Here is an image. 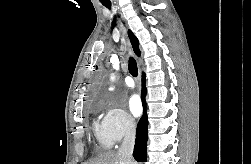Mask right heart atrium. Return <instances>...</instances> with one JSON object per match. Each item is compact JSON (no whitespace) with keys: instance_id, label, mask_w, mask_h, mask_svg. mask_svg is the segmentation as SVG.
<instances>
[{"instance_id":"1","label":"right heart atrium","mask_w":251,"mask_h":164,"mask_svg":"<svg viewBox=\"0 0 251 164\" xmlns=\"http://www.w3.org/2000/svg\"><path fill=\"white\" fill-rule=\"evenodd\" d=\"M102 126L112 142H120L130 137L136 129L132 116L110 101L103 104Z\"/></svg>"}]
</instances>
